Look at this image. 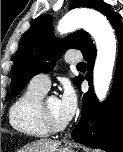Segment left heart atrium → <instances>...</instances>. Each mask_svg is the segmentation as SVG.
<instances>
[{
    "label": "left heart atrium",
    "mask_w": 123,
    "mask_h": 152,
    "mask_svg": "<svg viewBox=\"0 0 123 152\" xmlns=\"http://www.w3.org/2000/svg\"><path fill=\"white\" fill-rule=\"evenodd\" d=\"M59 102L62 117L68 122L74 116L78 105L77 94L70 84L64 86Z\"/></svg>",
    "instance_id": "obj_1"
}]
</instances>
